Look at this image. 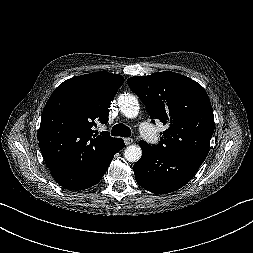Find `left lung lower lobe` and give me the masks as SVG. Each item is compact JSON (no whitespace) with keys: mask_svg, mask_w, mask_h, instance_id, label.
<instances>
[{"mask_svg":"<svg viewBox=\"0 0 253 253\" xmlns=\"http://www.w3.org/2000/svg\"><path fill=\"white\" fill-rule=\"evenodd\" d=\"M142 157L134 164L137 183L155 194H167L187 184L194 176L203 160L187 158L180 162H170L161 157L157 149L140 141Z\"/></svg>","mask_w":253,"mask_h":253,"instance_id":"1","label":"left lung lower lobe"}]
</instances>
